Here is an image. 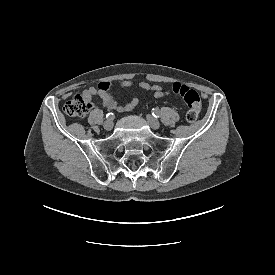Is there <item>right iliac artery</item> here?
<instances>
[{
	"label": "right iliac artery",
	"instance_id": "1",
	"mask_svg": "<svg viewBox=\"0 0 275 275\" xmlns=\"http://www.w3.org/2000/svg\"><path fill=\"white\" fill-rule=\"evenodd\" d=\"M106 118L109 119V120H112L114 117H113V113H108L106 115Z\"/></svg>",
	"mask_w": 275,
	"mask_h": 275
}]
</instances>
